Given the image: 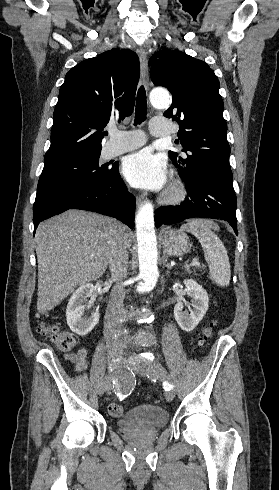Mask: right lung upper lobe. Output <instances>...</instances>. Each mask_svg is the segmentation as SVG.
Listing matches in <instances>:
<instances>
[{"mask_svg":"<svg viewBox=\"0 0 279 490\" xmlns=\"http://www.w3.org/2000/svg\"><path fill=\"white\" fill-rule=\"evenodd\" d=\"M138 80L139 59L128 49H112L73 67L60 87L45 163L100 154L103 128L131 115Z\"/></svg>","mask_w":279,"mask_h":490,"instance_id":"right-lung-upper-lobe-1","label":"right lung upper lobe"}]
</instances>
